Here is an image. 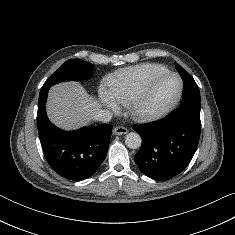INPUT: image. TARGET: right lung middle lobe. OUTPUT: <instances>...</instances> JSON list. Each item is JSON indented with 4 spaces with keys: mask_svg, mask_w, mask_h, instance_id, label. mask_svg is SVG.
<instances>
[{
    "mask_svg": "<svg viewBox=\"0 0 235 235\" xmlns=\"http://www.w3.org/2000/svg\"><path fill=\"white\" fill-rule=\"evenodd\" d=\"M92 68L93 65L89 62L80 59L68 60L46 80L41 91L47 90L59 82L87 79L93 74Z\"/></svg>",
    "mask_w": 235,
    "mask_h": 235,
    "instance_id": "dd1d6c3e",
    "label": "right lung middle lobe"
}]
</instances>
